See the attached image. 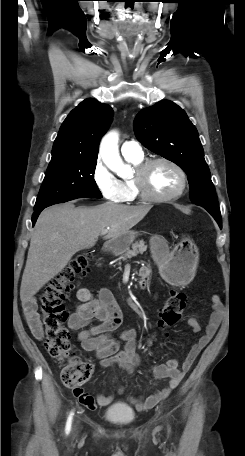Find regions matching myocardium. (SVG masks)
I'll list each match as a JSON object with an SVG mask.
<instances>
[{"mask_svg":"<svg viewBox=\"0 0 245 456\" xmlns=\"http://www.w3.org/2000/svg\"><path fill=\"white\" fill-rule=\"evenodd\" d=\"M157 163H165L171 166L179 175L180 177V186L177 191L170 195L166 196H159L153 194L148 186V173L150 169ZM134 184L138 190L139 196L146 201L149 202H169L172 200H176L183 195L187 187V175L185 171L179 166L176 162L171 159L165 157H157L147 159L141 162L135 170V175L133 178Z\"/></svg>","mask_w":245,"mask_h":456,"instance_id":"myocardium-1","label":"myocardium"}]
</instances>
